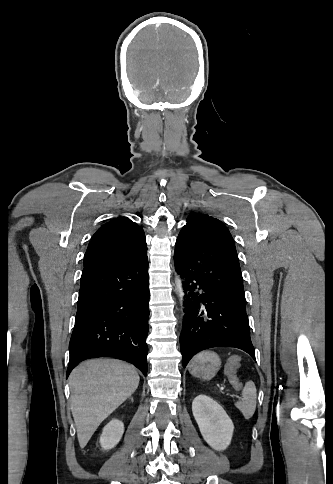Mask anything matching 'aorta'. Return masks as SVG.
I'll use <instances>...</instances> for the list:
<instances>
[{"mask_svg":"<svg viewBox=\"0 0 333 484\" xmlns=\"http://www.w3.org/2000/svg\"><path fill=\"white\" fill-rule=\"evenodd\" d=\"M175 286H176V292L179 296L180 303L182 304L184 301V290H183L182 280L179 275H176L175 277Z\"/></svg>","mask_w":333,"mask_h":484,"instance_id":"aorta-1","label":"aorta"}]
</instances>
